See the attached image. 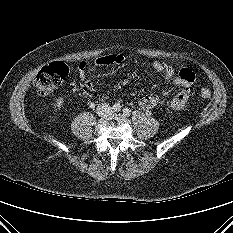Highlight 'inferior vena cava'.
Wrapping results in <instances>:
<instances>
[{
	"instance_id": "inferior-vena-cava-1",
	"label": "inferior vena cava",
	"mask_w": 233,
	"mask_h": 233,
	"mask_svg": "<svg viewBox=\"0 0 233 233\" xmlns=\"http://www.w3.org/2000/svg\"><path fill=\"white\" fill-rule=\"evenodd\" d=\"M111 112L112 110L109 104L104 103L97 106V114L101 117L108 116Z\"/></svg>"
}]
</instances>
